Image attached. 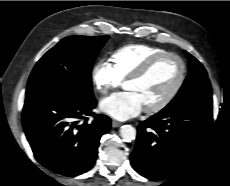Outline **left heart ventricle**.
Listing matches in <instances>:
<instances>
[{"mask_svg":"<svg viewBox=\"0 0 230 186\" xmlns=\"http://www.w3.org/2000/svg\"><path fill=\"white\" fill-rule=\"evenodd\" d=\"M180 64L174 58H165L142 79L129 81L124 89L134 92L144 108L161 101L172 89L179 78Z\"/></svg>","mask_w":230,"mask_h":186,"instance_id":"1","label":"left heart ventricle"}]
</instances>
